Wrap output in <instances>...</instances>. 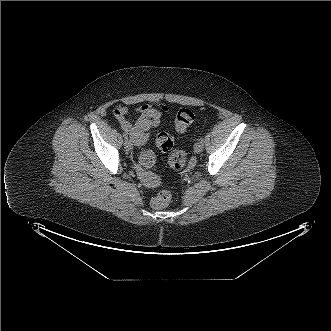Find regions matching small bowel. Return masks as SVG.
Wrapping results in <instances>:
<instances>
[{
	"mask_svg": "<svg viewBox=\"0 0 331 331\" xmlns=\"http://www.w3.org/2000/svg\"><path fill=\"white\" fill-rule=\"evenodd\" d=\"M155 109L152 105H143L139 108V114L147 109ZM158 109L161 110L162 112H167L168 108L164 105H159ZM157 110V109H156ZM114 116L117 119L120 128L127 134L131 136L132 142L138 146L141 147L146 144L148 140V136L145 139L141 138L140 135V129L138 126V120L134 124L131 119H129V111L127 107L125 106H119L114 110ZM149 160L153 162V154L149 150L142 151L140 154V161L145 164V165H150Z\"/></svg>",
	"mask_w": 331,
	"mask_h": 331,
	"instance_id": "c3829d8e",
	"label": "small bowel"
}]
</instances>
